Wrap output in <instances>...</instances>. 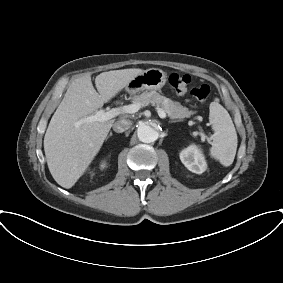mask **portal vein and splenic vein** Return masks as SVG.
Wrapping results in <instances>:
<instances>
[{
	"label": "portal vein and splenic vein",
	"instance_id": "18ae733b",
	"mask_svg": "<svg viewBox=\"0 0 283 283\" xmlns=\"http://www.w3.org/2000/svg\"><path fill=\"white\" fill-rule=\"evenodd\" d=\"M141 104L140 103H133V104H129V105H124L122 107H117V108H112L108 111L105 110H99L97 111L94 115L88 116L85 121L86 122H94V121H99V122H104V121H108L120 114H133L138 112V110L141 108ZM157 112L160 118L164 119L166 118V113L165 111L160 108L157 107ZM200 135L203 139H205V134L201 131Z\"/></svg>",
	"mask_w": 283,
	"mask_h": 283
}]
</instances>
